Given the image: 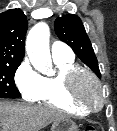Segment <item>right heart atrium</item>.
Returning a JSON list of instances; mask_svg holds the SVG:
<instances>
[{
    "label": "right heart atrium",
    "mask_w": 117,
    "mask_h": 131,
    "mask_svg": "<svg viewBox=\"0 0 117 131\" xmlns=\"http://www.w3.org/2000/svg\"><path fill=\"white\" fill-rule=\"evenodd\" d=\"M15 83L23 98L35 101L41 91L43 77L25 60L15 73Z\"/></svg>",
    "instance_id": "1"
}]
</instances>
